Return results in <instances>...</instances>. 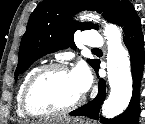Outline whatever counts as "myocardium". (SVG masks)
I'll use <instances>...</instances> for the list:
<instances>
[{"label":"myocardium","instance_id":"1","mask_svg":"<svg viewBox=\"0 0 145 124\" xmlns=\"http://www.w3.org/2000/svg\"><path fill=\"white\" fill-rule=\"evenodd\" d=\"M67 71L69 68L63 63H49L39 67L28 79L22 92L21 105L26 116L29 117H51L59 116L72 112L77 109L84 101V95L82 94L79 99L70 105L63 108H46V109H35L31 104V95L34 87L40 81V79L51 71Z\"/></svg>","mask_w":145,"mask_h":124}]
</instances>
